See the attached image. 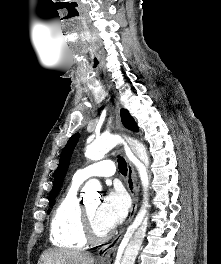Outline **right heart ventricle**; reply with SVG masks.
<instances>
[{
  "mask_svg": "<svg viewBox=\"0 0 221 264\" xmlns=\"http://www.w3.org/2000/svg\"><path fill=\"white\" fill-rule=\"evenodd\" d=\"M74 181L58 202L50 225L51 242L62 248L79 249L87 244L81 223V204Z\"/></svg>",
  "mask_w": 221,
  "mask_h": 264,
  "instance_id": "1",
  "label": "right heart ventricle"
}]
</instances>
